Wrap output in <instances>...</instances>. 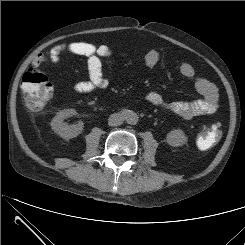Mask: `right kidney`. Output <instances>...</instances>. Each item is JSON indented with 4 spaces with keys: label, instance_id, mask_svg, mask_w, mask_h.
<instances>
[{
    "label": "right kidney",
    "instance_id": "right-kidney-1",
    "mask_svg": "<svg viewBox=\"0 0 245 245\" xmlns=\"http://www.w3.org/2000/svg\"><path fill=\"white\" fill-rule=\"evenodd\" d=\"M77 112L74 109H65L59 111L55 117L51 120V127L55 133H57L63 139H72L77 137L80 133H82L84 124L83 122H79L74 125H67L63 121L67 117L76 115Z\"/></svg>",
    "mask_w": 245,
    "mask_h": 245
}]
</instances>
